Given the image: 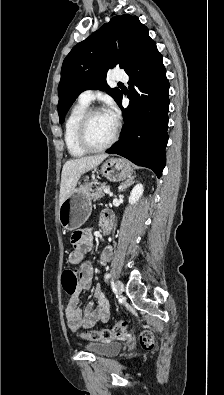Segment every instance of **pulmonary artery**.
<instances>
[{
  "instance_id": "1",
  "label": "pulmonary artery",
  "mask_w": 224,
  "mask_h": 395,
  "mask_svg": "<svg viewBox=\"0 0 224 395\" xmlns=\"http://www.w3.org/2000/svg\"><path fill=\"white\" fill-rule=\"evenodd\" d=\"M114 79L117 81H127L128 75L123 70H116ZM95 98V92L93 90H85L79 95V101L85 104L91 103Z\"/></svg>"
}]
</instances>
